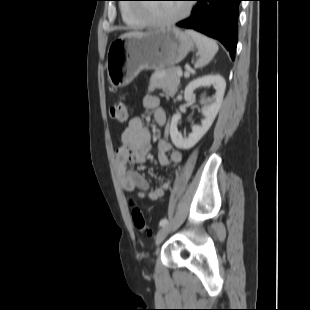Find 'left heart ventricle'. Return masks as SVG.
Returning <instances> with one entry per match:
<instances>
[{"mask_svg":"<svg viewBox=\"0 0 310 310\" xmlns=\"http://www.w3.org/2000/svg\"><path fill=\"white\" fill-rule=\"evenodd\" d=\"M183 9L184 7L181 5L156 4L146 8L145 12L156 19L168 20L178 16L183 11Z\"/></svg>","mask_w":310,"mask_h":310,"instance_id":"1","label":"left heart ventricle"}]
</instances>
